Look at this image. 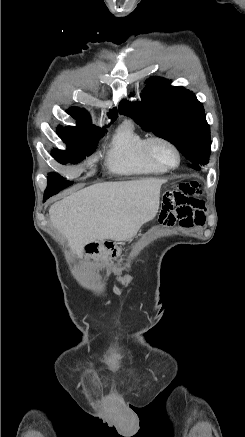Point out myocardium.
Instances as JSON below:
<instances>
[{
	"label": "myocardium",
	"mask_w": 245,
	"mask_h": 437,
	"mask_svg": "<svg viewBox=\"0 0 245 437\" xmlns=\"http://www.w3.org/2000/svg\"><path fill=\"white\" fill-rule=\"evenodd\" d=\"M157 144H162L167 147H169L176 155V163L175 164H168L161 160L157 154L154 151V146ZM144 151L147 155V157L152 160L154 163L158 164L159 166L165 168V169H174L176 168L180 162H181V152L179 148L174 144L171 140L159 136V135H153L148 138H146L144 142Z\"/></svg>",
	"instance_id": "obj_1"
}]
</instances>
